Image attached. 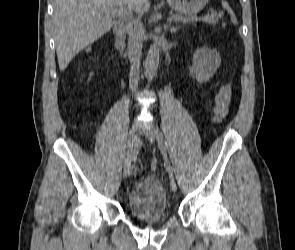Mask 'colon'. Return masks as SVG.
I'll return each mask as SVG.
<instances>
[{"label": "colon", "instance_id": "1", "mask_svg": "<svg viewBox=\"0 0 295 250\" xmlns=\"http://www.w3.org/2000/svg\"><path fill=\"white\" fill-rule=\"evenodd\" d=\"M231 93L232 89L230 85H224L221 89L220 92L218 93L216 97V105H215V121H221L224 119L229 111V106L231 102ZM157 168V162L153 161L151 163V169L155 170Z\"/></svg>", "mask_w": 295, "mask_h": 250}]
</instances>
